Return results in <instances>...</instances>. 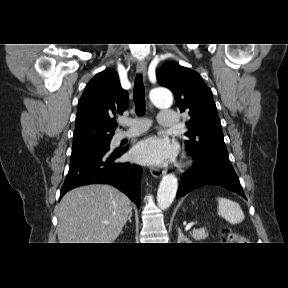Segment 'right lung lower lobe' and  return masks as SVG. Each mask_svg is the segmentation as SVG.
I'll use <instances>...</instances> for the list:
<instances>
[{"instance_id": "right-lung-lower-lobe-1", "label": "right lung lower lobe", "mask_w": 288, "mask_h": 288, "mask_svg": "<svg viewBox=\"0 0 288 288\" xmlns=\"http://www.w3.org/2000/svg\"><path fill=\"white\" fill-rule=\"evenodd\" d=\"M125 151L126 148L113 152L108 149L70 161L69 172L60 191V199L67 191L75 187L98 182L117 187L140 206L142 169L129 162L116 161Z\"/></svg>"}]
</instances>
